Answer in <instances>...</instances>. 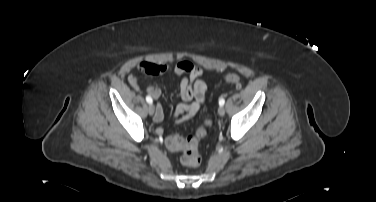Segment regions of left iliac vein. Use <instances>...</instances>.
<instances>
[{
    "mask_svg": "<svg viewBox=\"0 0 376 202\" xmlns=\"http://www.w3.org/2000/svg\"><path fill=\"white\" fill-rule=\"evenodd\" d=\"M218 114H219L220 116H223V115L225 114V108H224L223 106H220V107L218 108Z\"/></svg>",
    "mask_w": 376,
    "mask_h": 202,
    "instance_id": "4c4485c4",
    "label": "left iliac vein"
}]
</instances>
